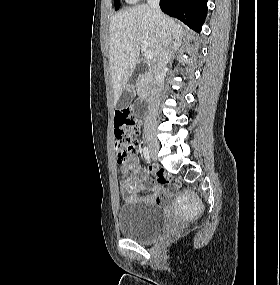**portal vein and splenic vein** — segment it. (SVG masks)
<instances>
[{
    "mask_svg": "<svg viewBox=\"0 0 280 285\" xmlns=\"http://www.w3.org/2000/svg\"><path fill=\"white\" fill-rule=\"evenodd\" d=\"M141 47L144 50V57L147 60H151L153 58V56H154V53L151 50L147 49L148 48L147 41H145V40L141 41Z\"/></svg>",
    "mask_w": 280,
    "mask_h": 285,
    "instance_id": "obj_1",
    "label": "portal vein and splenic vein"
}]
</instances>
